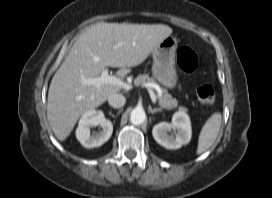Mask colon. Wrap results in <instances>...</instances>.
<instances>
[{
    "label": "colon",
    "mask_w": 272,
    "mask_h": 198,
    "mask_svg": "<svg viewBox=\"0 0 272 198\" xmlns=\"http://www.w3.org/2000/svg\"><path fill=\"white\" fill-rule=\"evenodd\" d=\"M177 62L179 67L186 73H193L198 67V58L195 52L182 46L177 52ZM198 100L206 105H212L216 99L215 89L211 85H203L197 89Z\"/></svg>",
    "instance_id": "5ec220e1"
}]
</instances>
